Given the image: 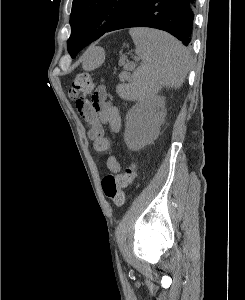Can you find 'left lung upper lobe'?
Instances as JSON below:
<instances>
[{
    "mask_svg": "<svg viewBox=\"0 0 245 300\" xmlns=\"http://www.w3.org/2000/svg\"><path fill=\"white\" fill-rule=\"evenodd\" d=\"M135 0H73L70 15L71 36L67 47L75 57L76 49L92 37L102 36Z\"/></svg>",
    "mask_w": 245,
    "mask_h": 300,
    "instance_id": "1",
    "label": "left lung upper lobe"
}]
</instances>
